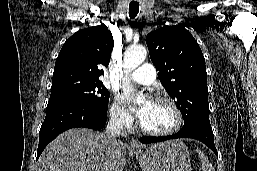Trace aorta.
Instances as JSON below:
<instances>
[{
    "label": "aorta",
    "mask_w": 257,
    "mask_h": 171,
    "mask_svg": "<svg viewBox=\"0 0 257 171\" xmlns=\"http://www.w3.org/2000/svg\"><path fill=\"white\" fill-rule=\"evenodd\" d=\"M146 56H147V50L145 47L143 46L130 47L124 54V67L126 69V72H130L135 68H137L146 59ZM124 86L127 91L133 90L128 80L124 82ZM143 101H144V97L137 98L138 103H141Z\"/></svg>",
    "instance_id": "1"
}]
</instances>
